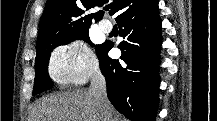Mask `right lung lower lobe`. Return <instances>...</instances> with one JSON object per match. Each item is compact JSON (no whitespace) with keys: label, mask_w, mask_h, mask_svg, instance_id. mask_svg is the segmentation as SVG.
<instances>
[{"label":"right lung lower lobe","mask_w":217,"mask_h":121,"mask_svg":"<svg viewBox=\"0 0 217 121\" xmlns=\"http://www.w3.org/2000/svg\"><path fill=\"white\" fill-rule=\"evenodd\" d=\"M121 61L108 56L114 46L103 43L98 55L113 106L132 121H155L158 107V66L161 48V19L157 0H131L116 18Z\"/></svg>","instance_id":"98d812e1"}]
</instances>
